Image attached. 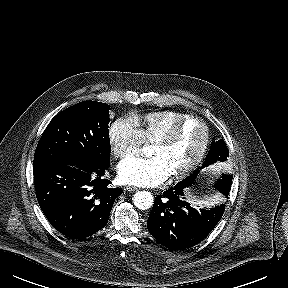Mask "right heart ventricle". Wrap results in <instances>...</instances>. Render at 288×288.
<instances>
[{
    "label": "right heart ventricle",
    "mask_w": 288,
    "mask_h": 288,
    "mask_svg": "<svg viewBox=\"0 0 288 288\" xmlns=\"http://www.w3.org/2000/svg\"><path fill=\"white\" fill-rule=\"evenodd\" d=\"M189 116V114L176 111L164 110L150 112L143 116L134 118L144 141L154 142V140L164 133L171 125Z\"/></svg>",
    "instance_id": "1"
}]
</instances>
